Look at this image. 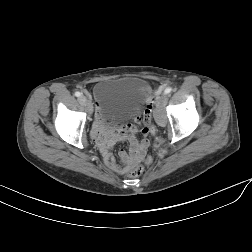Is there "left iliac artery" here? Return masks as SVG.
I'll list each match as a JSON object with an SVG mask.
<instances>
[{"mask_svg": "<svg viewBox=\"0 0 252 252\" xmlns=\"http://www.w3.org/2000/svg\"><path fill=\"white\" fill-rule=\"evenodd\" d=\"M172 91L171 87H167L164 91V94H169Z\"/></svg>", "mask_w": 252, "mask_h": 252, "instance_id": "44dca946", "label": "left iliac artery"}]
</instances>
